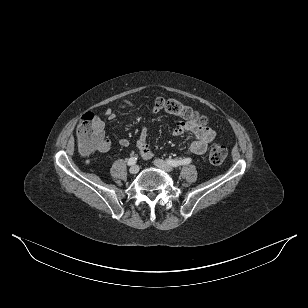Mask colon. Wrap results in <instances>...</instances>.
Segmentation results:
<instances>
[{
	"label": "colon",
	"mask_w": 308,
	"mask_h": 308,
	"mask_svg": "<svg viewBox=\"0 0 308 308\" xmlns=\"http://www.w3.org/2000/svg\"><path fill=\"white\" fill-rule=\"evenodd\" d=\"M154 108L163 110L186 121H192L200 125L206 124L205 117L176 99L157 98L154 102ZM76 133L78 146L83 154H90L101 145L103 129L98 121V117L91 112L82 116ZM226 155L227 149L225 146L217 143L211 144L209 148V161L212 165H220L226 158Z\"/></svg>",
	"instance_id": "obj_1"
}]
</instances>
